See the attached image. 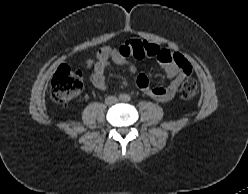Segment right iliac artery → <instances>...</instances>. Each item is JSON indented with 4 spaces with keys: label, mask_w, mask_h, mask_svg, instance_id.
I'll list each match as a JSON object with an SVG mask.
<instances>
[{
    "label": "right iliac artery",
    "mask_w": 248,
    "mask_h": 194,
    "mask_svg": "<svg viewBox=\"0 0 248 194\" xmlns=\"http://www.w3.org/2000/svg\"><path fill=\"white\" fill-rule=\"evenodd\" d=\"M119 99H120V100H123V99H124V95H120V96H119Z\"/></svg>",
    "instance_id": "right-iliac-artery-1"
}]
</instances>
